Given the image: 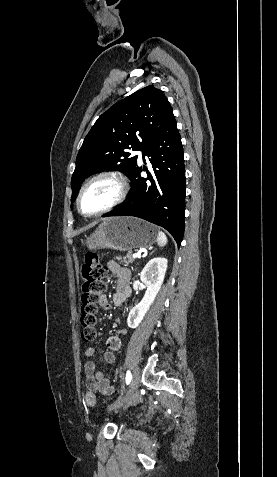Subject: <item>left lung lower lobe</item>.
I'll list each match as a JSON object with an SVG mask.
<instances>
[{
    "mask_svg": "<svg viewBox=\"0 0 277 477\" xmlns=\"http://www.w3.org/2000/svg\"><path fill=\"white\" fill-rule=\"evenodd\" d=\"M150 157L153 172L142 178V167L130 177L129 200L108 216H135L164 227L176 240L178 247L184 234L185 168L181 137L173 117L156 133L142 150ZM146 170V168H143Z\"/></svg>",
    "mask_w": 277,
    "mask_h": 477,
    "instance_id": "left-lung-lower-lobe-1",
    "label": "left lung lower lobe"
}]
</instances>
